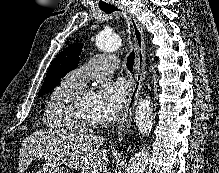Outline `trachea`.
Listing matches in <instances>:
<instances>
[{
  "instance_id": "1",
  "label": "trachea",
  "mask_w": 219,
  "mask_h": 173,
  "mask_svg": "<svg viewBox=\"0 0 219 173\" xmlns=\"http://www.w3.org/2000/svg\"><path fill=\"white\" fill-rule=\"evenodd\" d=\"M101 10H103L105 13L107 14H110L112 13L113 11L115 10H118L115 6H104V7H101ZM134 61H135V52L134 50L128 55L127 57V63H126V66H127V69L132 72L133 71V67H134Z\"/></svg>"
}]
</instances>
